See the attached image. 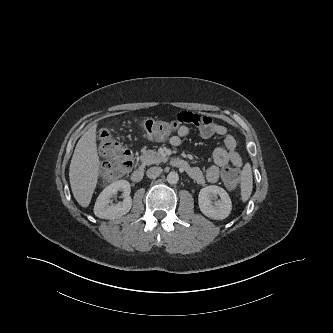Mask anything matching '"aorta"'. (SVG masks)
<instances>
[{
  "label": "aorta",
  "mask_w": 333,
  "mask_h": 333,
  "mask_svg": "<svg viewBox=\"0 0 333 333\" xmlns=\"http://www.w3.org/2000/svg\"><path fill=\"white\" fill-rule=\"evenodd\" d=\"M167 181L170 184H177L179 181V176L176 172H170L167 176Z\"/></svg>",
  "instance_id": "762f6f07"
}]
</instances>
